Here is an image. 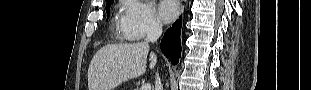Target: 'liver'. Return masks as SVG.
Returning <instances> with one entry per match:
<instances>
[{
  "mask_svg": "<svg viewBox=\"0 0 311 90\" xmlns=\"http://www.w3.org/2000/svg\"><path fill=\"white\" fill-rule=\"evenodd\" d=\"M149 45L145 42L109 44L92 58L88 69L89 90H114L130 79L142 76L146 71ZM157 62L150 53V69Z\"/></svg>",
  "mask_w": 311,
  "mask_h": 90,
  "instance_id": "obj_1",
  "label": "liver"
}]
</instances>
